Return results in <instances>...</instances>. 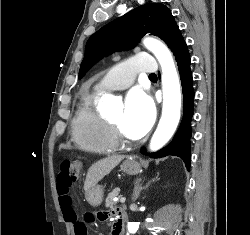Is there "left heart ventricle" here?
<instances>
[{"label": "left heart ventricle", "instance_id": "b2bd125f", "mask_svg": "<svg viewBox=\"0 0 250 235\" xmlns=\"http://www.w3.org/2000/svg\"><path fill=\"white\" fill-rule=\"evenodd\" d=\"M110 121L116 123L117 125H119L124 134L128 137V138H134L124 127V110L120 109L117 113H115L114 115L110 116L108 118Z\"/></svg>", "mask_w": 250, "mask_h": 235}]
</instances>
